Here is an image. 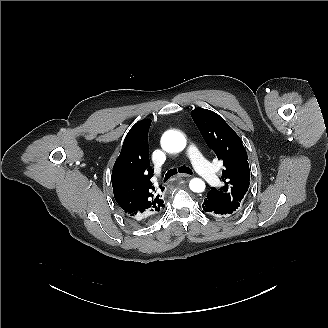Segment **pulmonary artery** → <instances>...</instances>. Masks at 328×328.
<instances>
[{"label":"pulmonary artery","mask_w":328,"mask_h":328,"mask_svg":"<svg viewBox=\"0 0 328 328\" xmlns=\"http://www.w3.org/2000/svg\"><path fill=\"white\" fill-rule=\"evenodd\" d=\"M186 149L188 151L186 155L187 161L194 165V172L201 177L208 178L212 183L217 182L219 179L218 173L215 171L214 166L205 160L204 155L197 149L196 144L190 142Z\"/></svg>","instance_id":"obj_1"}]
</instances>
